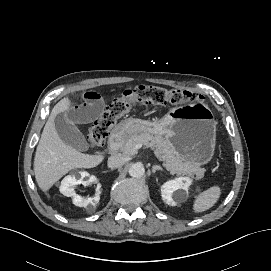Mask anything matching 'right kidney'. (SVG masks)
Listing matches in <instances>:
<instances>
[{
  "label": "right kidney",
  "mask_w": 271,
  "mask_h": 271,
  "mask_svg": "<svg viewBox=\"0 0 271 271\" xmlns=\"http://www.w3.org/2000/svg\"><path fill=\"white\" fill-rule=\"evenodd\" d=\"M78 175L80 176L79 179H77L75 175L66 176L61 182L60 192L65 196L72 197L73 204H75L76 206L86 207L89 204L95 206L100 200V188H97V193L94 197L83 198L80 195H77L74 190V186L78 183H82L84 185L88 184V180L84 181L83 179L89 177V174L87 172H79Z\"/></svg>",
  "instance_id": "1"
}]
</instances>
